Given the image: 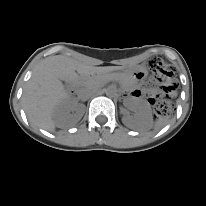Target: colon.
<instances>
[{"label": "colon", "instance_id": "1", "mask_svg": "<svg viewBox=\"0 0 206 206\" xmlns=\"http://www.w3.org/2000/svg\"><path fill=\"white\" fill-rule=\"evenodd\" d=\"M150 71L153 79L164 85L163 94L154 102L156 115L163 119L168 117L172 110L171 98L175 95L177 86L175 68L164 61L154 60L150 63Z\"/></svg>", "mask_w": 206, "mask_h": 206}]
</instances>
